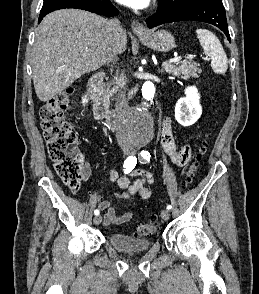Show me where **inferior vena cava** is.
<instances>
[{
	"mask_svg": "<svg viewBox=\"0 0 259 294\" xmlns=\"http://www.w3.org/2000/svg\"><path fill=\"white\" fill-rule=\"evenodd\" d=\"M109 29L111 32V38L108 44L107 57L109 62H116L117 56L120 53V35L123 29L118 19H111L109 21ZM120 83V90L117 96L116 111L117 118L122 121L127 113L128 101L126 99V91L124 87V77L121 76L118 80Z\"/></svg>",
	"mask_w": 259,
	"mask_h": 294,
	"instance_id": "1",
	"label": "inferior vena cava"
}]
</instances>
